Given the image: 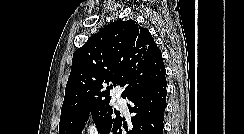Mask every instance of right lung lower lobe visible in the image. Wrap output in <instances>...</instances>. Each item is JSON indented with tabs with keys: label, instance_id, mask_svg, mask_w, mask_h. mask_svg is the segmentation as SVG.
Returning <instances> with one entry per match:
<instances>
[{
	"label": "right lung lower lobe",
	"instance_id": "98d812e1",
	"mask_svg": "<svg viewBox=\"0 0 244 134\" xmlns=\"http://www.w3.org/2000/svg\"><path fill=\"white\" fill-rule=\"evenodd\" d=\"M167 82L165 76L156 83L133 92L126 98L133 128L128 131L125 118L120 116L105 134H163L164 111L166 107Z\"/></svg>",
	"mask_w": 244,
	"mask_h": 134
}]
</instances>
